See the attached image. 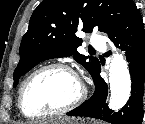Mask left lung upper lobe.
<instances>
[{
    "mask_svg": "<svg viewBox=\"0 0 145 124\" xmlns=\"http://www.w3.org/2000/svg\"><path fill=\"white\" fill-rule=\"evenodd\" d=\"M132 0H44L34 10L28 31L20 45V61L13 78L14 87L19 78L39 62L65 56L82 64L91 74L100 66L94 57L77 52L82 39L75 35L77 29L91 33L94 28L112 36L124 20Z\"/></svg>",
    "mask_w": 145,
    "mask_h": 124,
    "instance_id": "left-lung-upper-lobe-1",
    "label": "left lung upper lobe"
}]
</instances>
